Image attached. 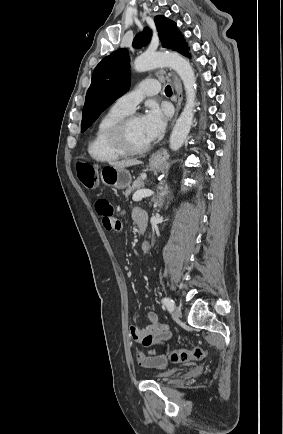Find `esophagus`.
<instances>
[{
	"instance_id": "obj_1",
	"label": "esophagus",
	"mask_w": 283,
	"mask_h": 434,
	"mask_svg": "<svg viewBox=\"0 0 283 434\" xmlns=\"http://www.w3.org/2000/svg\"><path fill=\"white\" fill-rule=\"evenodd\" d=\"M173 83H174V89L177 95V104H176V116L178 115V112L180 110L182 101H183V91H182V84L180 79L173 74ZM175 116V117H176ZM168 157L167 151L164 148H160L152 155V160L154 161H163Z\"/></svg>"
}]
</instances>
